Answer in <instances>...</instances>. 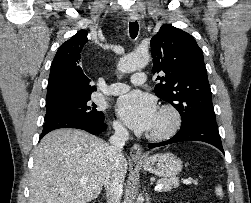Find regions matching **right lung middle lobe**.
<instances>
[{
	"label": "right lung middle lobe",
	"mask_w": 251,
	"mask_h": 203,
	"mask_svg": "<svg viewBox=\"0 0 251 203\" xmlns=\"http://www.w3.org/2000/svg\"><path fill=\"white\" fill-rule=\"evenodd\" d=\"M90 100L91 97L59 106L46 108V115L44 120L47 121L53 118L68 115H80L100 122H104V114L100 111H97L95 104L90 103Z\"/></svg>",
	"instance_id": "1"
}]
</instances>
